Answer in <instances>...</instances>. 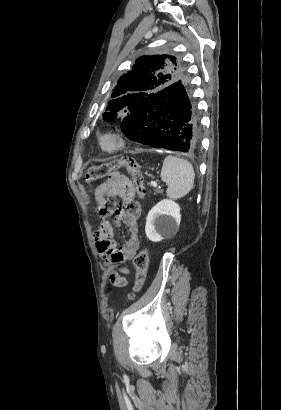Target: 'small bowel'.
<instances>
[{
  "mask_svg": "<svg viewBox=\"0 0 281 410\" xmlns=\"http://www.w3.org/2000/svg\"><path fill=\"white\" fill-rule=\"evenodd\" d=\"M124 195L133 198L134 188L128 178L113 173L95 190L97 202V214L100 226L94 234L97 251L105 263L110 266H118L119 272H112L110 280L113 284L123 286L127 283L129 269L125 266L128 259H132L139 249V217L138 214L122 213L116 219L110 217L111 210L108 198L113 195ZM126 225L129 230L128 239L120 248H116V242L112 239L114 227Z\"/></svg>",
  "mask_w": 281,
  "mask_h": 410,
  "instance_id": "1",
  "label": "small bowel"
}]
</instances>
